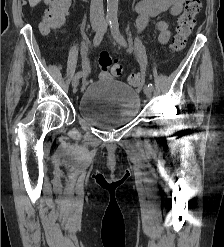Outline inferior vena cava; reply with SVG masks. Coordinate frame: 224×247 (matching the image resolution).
<instances>
[{
	"instance_id": "1",
	"label": "inferior vena cava",
	"mask_w": 224,
	"mask_h": 247,
	"mask_svg": "<svg viewBox=\"0 0 224 247\" xmlns=\"http://www.w3.org/2000/svg\"><path fill=\"white\" fill-rule=\"evenodd\" d=\"M90 22H104L103 0H91L90 6Z\"/></svg>"
}]
</instances>
